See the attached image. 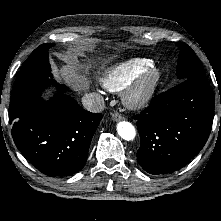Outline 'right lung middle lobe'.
<instances>
[{
	"mask_svg": "<svg viewBox=\"0 0 221 221\" xmlns=\"http://www.w3.org/2000/svg\"><path fill=\"white\" fill-rule=\"evenodd\" d=\"M54 44H42L35 49L21 67L13 91L38 80L52 77L48 59V49Z\"/></svg>",
	"mask_w": 221,
	"mask_h": 221,
	"instance_id": "right-lung-middle-lobe-1",
	"label": "right lung middle lobe"
}]
</instances>
